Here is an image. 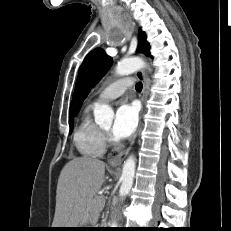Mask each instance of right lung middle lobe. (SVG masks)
<instances>
[{"mask_svg":"<svg viewBox=\"0 0 231 231\" xmlns=\"http://www.w3.org/2000/svg\"><path fill=\"white\" fill-rule=\"evenodd\" d=\"M69 124L71 127L73 126V118L69 119ZM71 131H72V129H71Z\"/></svg>","mask_w":231,"mask_h":231,"instance_id":"1","label":"right lung middle lobe"}]
</instances>
